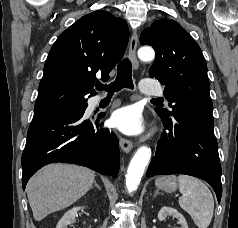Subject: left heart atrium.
I'll return each instance as SVG.
<instances>
[{
  "label": "left heart atrium",
  "instance_id": "left-heart-atrium-1",
  "mask_svg": "<svg viewBox=\"0 0 238 228\" xmlns=\"http://www.w3.org/2000/svg\"><path fill=\"white\" fill-rule=\"evenodd\" d=\"M111 122L114 127L128 135L139 134L144 129L142 115L134 106H126L116 110L111 117Z\"/></svg>",
  "mask_w": 238,
  "mask_h": 228
}]
</instances>
